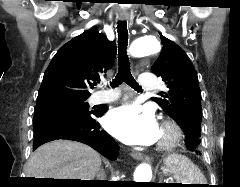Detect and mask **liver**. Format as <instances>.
I'll return each instance as SVG.
<instances>
[{"instance_id":"6515ba94","label":"liver","mask_w":240,"mask_h":187,"mask_svg":"<svg viewBox=\"0 0 240 187\" xmlns=\"http://www.w3.org/2000/svg\"><path fill=\"white\" fill-rule=\"evenodd\" d=\"M100 167V155L89 146L55 140L33 152L27 163L26 177L94 180Z\"/></svg>"}]
</instances>
